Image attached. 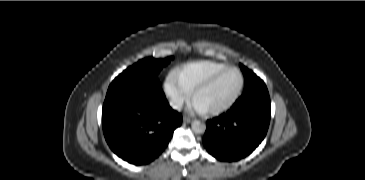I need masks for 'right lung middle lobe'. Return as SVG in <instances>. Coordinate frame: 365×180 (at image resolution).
Here are the masks:
<instances>
[{
	"instance_id": "1",
	"label": "right lung middle lobe",
	"mask_w": 365,
	"mask_h": 180,
	"mask_svg": "<svg viewBox=\"0 0 365 180\" xmlns=\"http://www.w3.org/2000/svg\"><path fill=\"white\" fill-rule=\"evenodd\" d=\"M171 59L172 57L165 59L145 58L138 61L117 76L110 84L107 92L121 89L129 84L147 82L160 84L157 80V75Z\"/></svg>"
}]
</instances>
